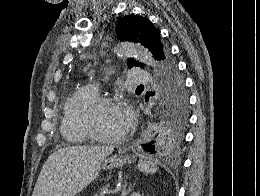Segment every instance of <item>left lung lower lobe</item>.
I'll list each match as a JSON object with an SVG mask.
<instances>
[{
	"label": "left lung lower lobe",
	"mask_w": 260,
	"mask_h": 196,
	"mask_svg": "<svg viewBox=\"0 0 260 196\" xmlns=\"http://www.w3.org/2000/svg\"><path fill=\"white\" fill-rule=\"evenodd\" d=\"M142 148H143L146 152H151V153H154V152H155V146L152 145L151 143L142 145Z\"/></svg>",
	"instance_id": "obj_1"
}]
</instances>
